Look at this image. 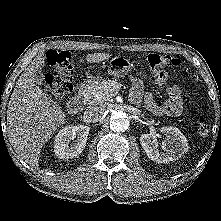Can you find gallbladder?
I'll return each mask as SVG.
<instances>
[{"mask_svg": "<svg viewBox=\"0 0 221 221\" xmlns=\"http://www.w3.org/2000/svg\"><path fill=\"white\" fill-rule=\"evenodd\" d=\"M34 80L37 84L41 85L45 83V77L41 71H37L34 74Z\"/></svg>", "mask_w": 221, "mask_h": 221, "instance_id": "1", "label": "gallbladder"}]
</instances>
